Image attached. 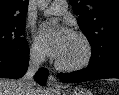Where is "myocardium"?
<instances>
[{"instance_id":"1","label":"myocardium","mask_w":119,"mask_h":95,"mask_svg":"<svg viewBox=\"0 0 119 95\" xmlns=\"http://www.w3.org/2000/svg\"><path fill=\"white\" fill-rule=\"evenodd\" d=\"M73 36L78 38L83 44V48H84L83 56L79 61L72 64H64L57 60L55 65L59 70L66 71V72L79 71L87 67L92 60L93 46L89 38L84 33L79 31H75L73 33Z\"/></svg>"}]
</instances>
